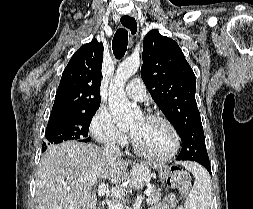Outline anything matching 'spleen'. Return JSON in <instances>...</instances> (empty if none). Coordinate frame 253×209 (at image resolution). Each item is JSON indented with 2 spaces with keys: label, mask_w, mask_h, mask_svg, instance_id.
<instances>
[{
  "label": "spleen",
  "mask_w": 253,
  "mask_h": 209,
  "mask_svg": "<svg viewBox=\"0 0 253 209\" xmlns=\"http://www.w3.org/2000/svg\"><path fill=\"white\" fill-rule=\"evenodd\" d=\"M181 164L195 178L194 185L184 203L185 209H210L212 187L209 174L199 164L193 162H182Z\"/></svg>",
  "instance_id": "spleen-1"
}]
</instances>
